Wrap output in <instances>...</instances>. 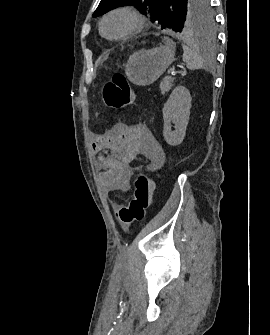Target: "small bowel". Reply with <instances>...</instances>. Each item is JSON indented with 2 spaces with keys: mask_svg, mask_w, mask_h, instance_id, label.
I'll return each instance as SVG.
<instances>
[{
  "mask_svg": "<svg viewBox=\"0 0 270 335\" xmlns=\"http://www.w3.org/2000/svg\"><path fill=\"white\" fill-rule=\"evenodd\" d=\"M91 147L99 155V181L110 191L130 190L134 173L131 163L137 156L146 157L151 170L165 162L162 146L142 123H119L112 131L95 135Z\"/></svg>",
  "mask_w": 270,
  "mask_h": 335,
  "instance_id": "c3829d8e",
  "label": "small bowel"
}]
</instances>
